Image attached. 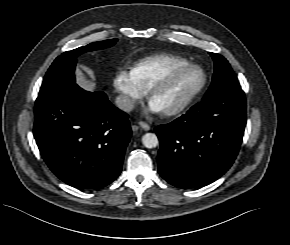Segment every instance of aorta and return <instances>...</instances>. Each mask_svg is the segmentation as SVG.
<instances>
[{
    "label": "aorta",
    "instance_id": "1",
    "mask_svg": "<svg viewBox=\"0 0 290 245\" xmlns=\"http://www.w3.org/2000/svg\"><path fill=\"white\" fill-rule=\"evenodd\" d=\"M142 143L146 148H155L159 141H158V137L156 136V134L154 133H146L145 135H143L142 137Z\"/></svg>",
    "mask_w": 290,
    "mask_h": 245
}]
</instances>
